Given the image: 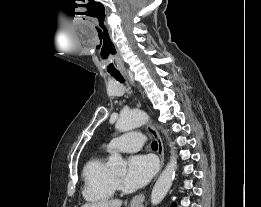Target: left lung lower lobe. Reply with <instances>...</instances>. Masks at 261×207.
Listing matches in <instances>:
<instances>
[{
	"mask_svg": "<svg viewBox=\"0 0 261 207\" xmlns=\"http://www.w3.org/2000/svg\"><path fill=\"white\" fill-rule=\"evenodd\" d=\"M170 207H176V205L175 204H171V206Z\"/></svg>",
	"mask_w": 261,
	"mask_h": 207,
	"instance_id": "left-lung-lower-lobe-1",
	"label": "left lung lower lobe"
}]
</instances>
